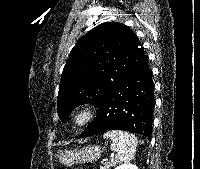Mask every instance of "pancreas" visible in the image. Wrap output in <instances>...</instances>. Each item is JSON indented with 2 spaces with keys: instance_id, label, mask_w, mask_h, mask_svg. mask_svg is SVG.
Masks as SVG:
<instances>
[{
  "instance_id": "pancreas-1",
  "label": "pancreas",
  "mask_w": 200,
  "mask_h": 169,
  "mask_svg": "<svg viewBox=\"0 0 200 169\" xmlns=\"http://www.w3.org/2000/svg\"><path fill=\"white\" fill-rule=\"evenodd\" d=\"M117 162V159H111L110 161L105 162L104 165L100 167V169H110L111 167L115 166Z\"/></svg>"
}]
</instances>
